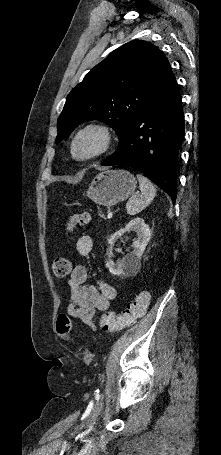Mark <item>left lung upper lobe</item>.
Returning <instances> with one entry per match:
<instances>
[{"instance_id": "5c2ea615", "label": "left lung upper lobe", "mask_w": 221, "mask_h": 455, "mask_svg": "<svg viewBox=\"0 0 221 455\" xmlns=\"http://www.w3.org/2000/svg\"><path fill=\"white\" fill-rule=\"evenodd\" d=\"M172 74L168 59L158 47L141 40L124 44L72 89L57 121L56 143L88 120L109 124L121 142L137 115Z\"/></svg>"}]
</instances>
